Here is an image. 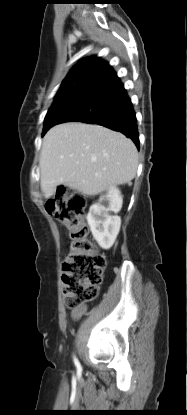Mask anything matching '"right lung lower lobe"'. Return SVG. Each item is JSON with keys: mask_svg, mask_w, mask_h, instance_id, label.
<instances>
[{"mask_svg": "<svg viewBox=\"0 0 187 415\" xmlns=\"http://www.w3.org/2000/svg\"><path fill=\"white\" fill-rule=\"evenodd\" d=\"M49 120L48 129L64 122L99 124L123 133L139 149L133 105L124 85L108 64L80 79Z\"/></svg>", "mask_w": 187, "mask_h": 415, "instance_id": "obj_1", "label": "right lung lower lobe"}]
</instances>
